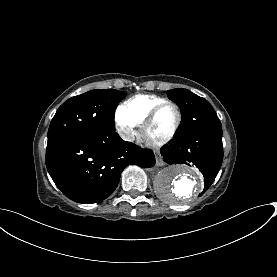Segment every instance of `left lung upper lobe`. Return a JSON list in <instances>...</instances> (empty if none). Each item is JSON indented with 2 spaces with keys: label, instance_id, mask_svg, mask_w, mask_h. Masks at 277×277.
Returning <instances> with one entry per match:
<instances>
[{
  "label": "left lung upper lobe",
  "instance_id": "obj_1",
  "mask_svg": "<svg viewBox=\"0 0 277 277\" xmlns=\"http://www.w3.org/2000/svg\"><path fill=\"white\" fill-rule=\"evenodd\" d=\"M167 95L176 102L182 113L183 122L179 135L209 127H222L213 107L204 98L187 89H172L167 91Z\"/></svg>",
  "mask_w": 277,
  "mask_h": 277
}]
</instances>
